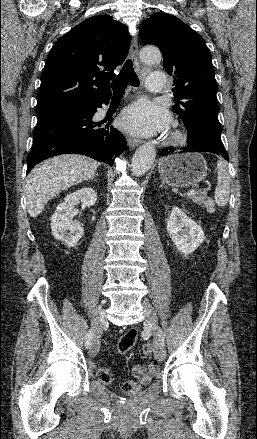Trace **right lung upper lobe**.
I'll return each mask as SVG.
<instances>
[{"label": "right lung upper lobe", "mask_w": 257, "mask_h": 439, "mask_svg": "<svg viewBox=\"0 0 257 439\" xmlns=\"http://www.w3.org/2000/svg\"><path fill=\"white\" fill-rule=\"evenodd\" d=\"M127 27L108 15L90 17L52 47L37 93V117L111 97L109 80L128 54Z\"/></svg>", "instance_id": "1"}]
</instances>
